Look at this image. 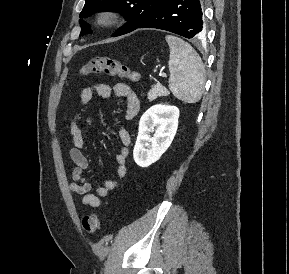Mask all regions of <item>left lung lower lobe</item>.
Masks as SVG:
<instances>
[{
	"instance_id": "obj_1",
	"label": "left lung lower lobe",
	"mask_w": 289,
	"mask_h": 274,
	"mask_svg": "<svg viewBox=\"0 0 289 274\" xmlns=\"http://www.w3.org/2000/svg\"><path fill=\"white\" fill-rule=\"evenodd\" d=\"M202 15L200 0H165L137 28L162 29L195 40L204 32Z\"/></svg>"
}]
</instances>
